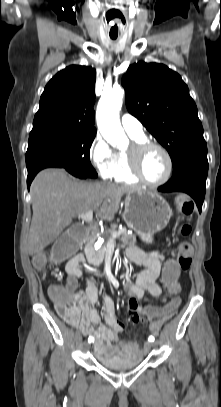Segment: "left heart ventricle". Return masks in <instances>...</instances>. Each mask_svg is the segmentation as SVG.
Masks as SVG:
<instances>
[{
    "instance_id": "b2bd125f",
    "label": "left heart ventricle",
    "mask_w": 221,
    "mask_h": 407,
    "mask_svg": "<svg viewBox=\"0 0 221 407\" xmlns=\"http://www.w3.org/2000/svg\"><path fill=\"white\" fill-rule=\"evenodd\" d=\"M142 171L151 181L162 180L168 171L165 155L158 149H151L142 158Z\"/></svg>"
}]
</instances>
